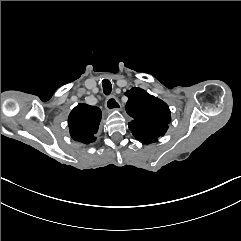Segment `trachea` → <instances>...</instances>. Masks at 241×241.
I'll return each instance as SVG.
<instances>
[{
    "label": "trachea",
    "instance_id": "1",
    "mask_svg": "<svg viewBox=\"0 0 241 241\" xmlns=\"http://www.w3.org/2000/svg\"><path fill=\"white\" fill-rule=\"evenodd\" d=\"M103 92L106 96H109L112 91V85L109 80L104 79L102 82Z\"/></svg>",
    "mask_w": 241,
    "mask_h": 241
}]
</instances>
